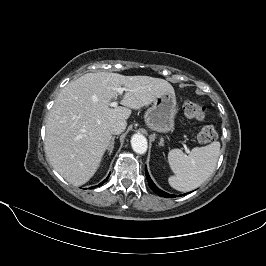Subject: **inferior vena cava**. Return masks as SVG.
Wrapping results in <instances>:
<instances>
[{
  "label": "inferior vena cava",
  "mask_w": 266,
  "mask_h": 266,
  "mask_svg": "<svg viewBox=\"0 0 266 266\" xmlns=\"http://www.w3.org/2000/svg\"><path fill=\"white\" fill-rule=\"evenodd\" d=\"M126 128V123L123 120H114L109 124L111 134H121Z\"/></svg>",
  "instance_id": "obj_1"
}]
</instances>
